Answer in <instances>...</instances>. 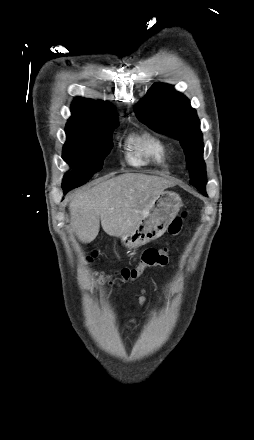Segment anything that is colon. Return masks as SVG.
<instances>
[{"mask_svg": "<svg viewBox=\"0 0 254 440\" xmlns=\"http://www.w3.org/2000/svg\"><path fill=\"white\" fill-rule=\"evenodd\" d=\"M187 214L183 213L175 218L169 226L170 237H176L182 230L183 222ZM95 253L92 254L94 256ZM169 260V244L161 248H147L142 252L141 260L132 267H124L114 272L101 275V281L115 283L117 281L129 282L141 277L144 272L155 266H164Z\"/></svg>", "mask_w": 254, "mask_h": 440, "instance_id": "5ec220e1", "label": "colon"}]
</instances>
